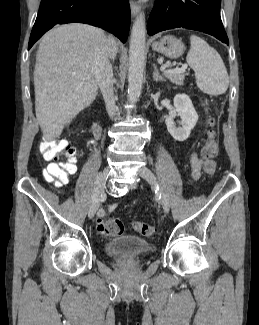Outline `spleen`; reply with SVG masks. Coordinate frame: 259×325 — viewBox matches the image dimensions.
Listing matches in <instances>:
<instances>
[{
  "label": "spleen",
  "mask_w": 259,
  "mask_h": 325,
  "mask_svg": "<svg viewBox=\"0 0 259 325\" xmlns=\"http://www.w3.org/2000/svg\"><path fill=\"white\" fill-rule=\"evenodd\" d=\"M190 43L186 60L195 72L198 88L213 96L225 93L229 86V76L219 53L196 35H191Z\"/></svg>",
  "instance_id": "spleen-1"
}]
</instances>
